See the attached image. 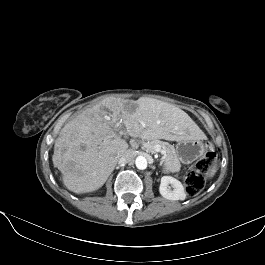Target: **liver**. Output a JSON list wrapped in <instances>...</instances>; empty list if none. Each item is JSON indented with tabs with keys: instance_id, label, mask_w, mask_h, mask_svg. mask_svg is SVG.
Wrapping results in <instances>:
<instances>
[{
	"instance_id": "6515ba94",
	"label": "liver",
	"mask_w": 265,
	"mask_h": 265,
	"mask_svg": "<svg viewBox=\"0 0 265 265\" xmlns=\"http://www.w3.org/2000/svg\"><path fill=\"white\" fill-rule=\"evenodd\" d=\"M136 105L130 112L126 100L108 97L61 129L52 160L68 190L80 194L104 185L128 149V143L115 133L121 128L120 120L128 130L139 126L140 135L149 139L179 141L202 135L189 115L174 105L153 98H140Z\"/></svg>"
}]
</instances>
